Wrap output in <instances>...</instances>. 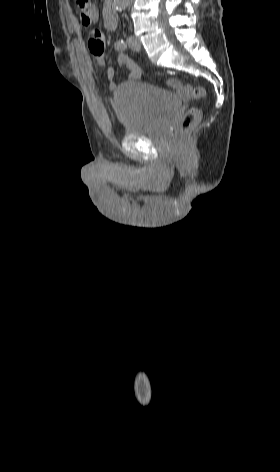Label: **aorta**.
<instances>
[{
    "instance_id": "aorta-1",
    "label": "aorta",
    "mask_w": 280,
    "mask_h": 472,
    "mask_svg": "<svg viewBox=\"0 0 280 472\" xmlns=\"http://www.w3.org/2000/svg\"><path fill=\"white\" fill-rule=\"evenodd\" d=\"M130 3V0H114V7L121 11L127 7V5Z\"/></svg>"
}]
</instances>
